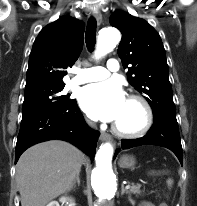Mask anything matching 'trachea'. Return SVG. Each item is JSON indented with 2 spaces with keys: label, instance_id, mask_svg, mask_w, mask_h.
<instances>
[{
  "label": "trachea",
  "instance_id": "obj_1",
  "mask_svg": "<svg viewBox=\"0 0 197 206\" xmlns=\"http://www.w3.org/2000/svg\"><path fill=\"white\" fill-rule=\"evenodd\" d=\"M85 40L88 50L92 52L96 42V21L93 18L87 24Z\"/></svg>",
  "mask_w": 197,
  "mask_h": 206
}]
</instances>
